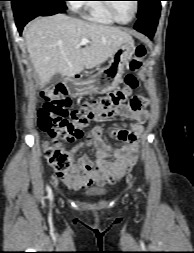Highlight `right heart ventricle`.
I'll list each match as a JSON object with an SVG mask.
<instances>
[{"label": "right heart ventricle", "instance_id": "obj_1", "mask_svg": "<svg viewBox=\"0 0 194 253\" xmlns=\"http://www.w3.org/2000/svg\"><path fill=\"white\" fill-rule=\"evenodd\" d=\"M80 10L87 20L94 23L112 25L116 22L100 0H88L81 4Z\"/></svg>", "mask_w": 194, "mask_h": 253}]
</instances>
